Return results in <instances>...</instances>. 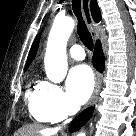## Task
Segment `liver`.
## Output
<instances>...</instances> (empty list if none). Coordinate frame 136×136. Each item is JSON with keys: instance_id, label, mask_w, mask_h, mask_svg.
Returning a JSON list of instances; mask_svg holds the SVG:
<instances>
[{"instance_id": "obj_1", "label": "liver", "mask_w": 136, "mask_h": 136, "mask_svg": "<svg viewBox=\"0 0 136 136\" xmlns=\"http://www.w3.org/2000/svg\"><path fill=\"white\" fill-rule=\"evenodd\" d=\"M57 133V129L44 128L39 124H29L20 128L15 136H54Z\"/></svg>"}]
</instances>
